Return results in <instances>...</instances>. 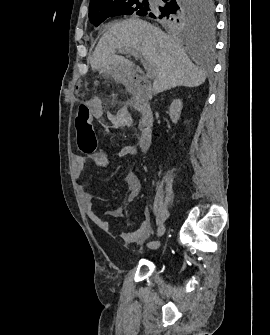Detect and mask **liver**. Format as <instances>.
<instances>
[{
  "mask_svg": "<svg viewBox=\"0 0 270 335\" xmlns=\"http://www.w3.org/2000/svg\"><path fill=\"white\" fill-rule=\"evenodd\" d=\"M116 50H135L154 66L157 74L153 82L155 94L176 86L195 88L206 80L202 70L192 64L178 38L168 36L160 28L139 18L117 22L103 34L90 62L92 70L125 76L132 62H129L130 66L122 64L124 58L116 56Z\"/></svg>",
  "mask_w": 270,
  "mask_h": 335,
  "instance_id": "6515ba94",
  "label": "liver"
}]
</instances>
